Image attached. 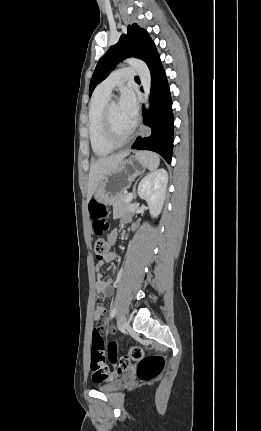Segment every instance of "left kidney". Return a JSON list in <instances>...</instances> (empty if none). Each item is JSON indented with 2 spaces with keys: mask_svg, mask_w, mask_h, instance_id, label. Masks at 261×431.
<instances>
[{
  "mask_svg": "<svg viewBox=\"0 0 261 431\" xmlns=\"http://www.w3.org/2000/svg\"><path fill=\"white\" fill-rule=\"evenodd\" d=\"M168 174L165 169H158L145 176L138 186L140 198L146 200L152 217L161 213L167 189Z\"/></svg>",
  "mask_w": 261,
  "mask_h": 431,
  "instance_id": "left-kidney-1",
  "label": "left kidney"
}]
</instances>
